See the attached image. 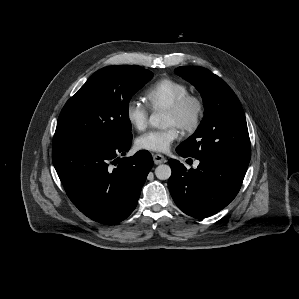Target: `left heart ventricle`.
<instances>
[{"instance_id": "left-heart-ventricle-1", "label": "left heart ventricle", "mask_w": 299, "mask_h": 299, "mask_svg": "<svg viewBox=\"0 0 299 299\" xmlns=\"http://www.w3.org/2000/svg\"><path fill=\"white\" fill-rule=\"evenodd\" d=\"M165 124L167 126H172V125L176 126V118L173 115L166 112Z\"/></svg>"}]
</instances>
